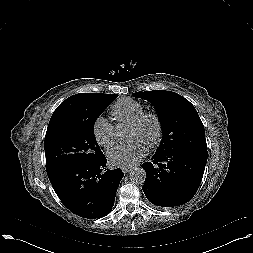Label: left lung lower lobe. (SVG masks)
Returning a JSON list of instances; mask_svg holds the SVG:
<instances>
[{
	"label": "left lung lower lobe",
	"instance_id": "1",
	"mask_svg": "<svg viewBox=\"0 0 253 253\" xmlns=\"http://www.w3.org/2000/svg\"><path fill=\"white\" fill-rule=\"evenodd\" d=\"M207 162V150L197 145H180L151 162L142 164L146 172L143 192L160 207H175L190 201L197 192Z\"/></svg>",
	"mask_w": 253,
	"mask_h": 253
}]
</instances>
